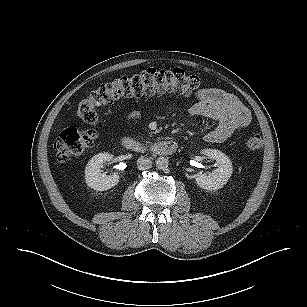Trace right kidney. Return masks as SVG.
I'll return each instance as SVG.
<instances>
[{"label":"right kidney","instance_id":"obj_1","mask_svg":"<svg viewBox=\"0 0 307 307\" xmlns=\"http://www.w3.org/2000/svg\"><path fill=\"white\" fill-rule=\"evenodd\" d=\"M112 159L113 155L106 152L99 153L91 158L85 167V181L90 188L96 191H104L118 184V174L105 175L101 170V165Z\"/></svg>","mask_w":307,"mask_h":307}]
</instances>
